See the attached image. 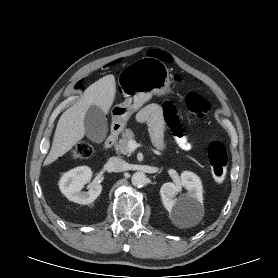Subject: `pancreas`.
Returning <instances> with one entry per match:
<instances>
[{
  "label": "pancreas",
  "mask_w": 278,
  "mask_h": 278,
  "mask_svg": "<svg viewBox=\"0 0 278 278\" xmlns=\"http://www.w3.org/2000/svg\"><path fill=\"white\" fill-rule=\"evenodd\" d=\"M135 135L131 129H125V131L122 133V139L119 140V142L115 145V149L117 153L120 154H128V142L130 140H134Z\"/></svg>",
  "instance_id": "pancreas-1"
}]
</instances>
